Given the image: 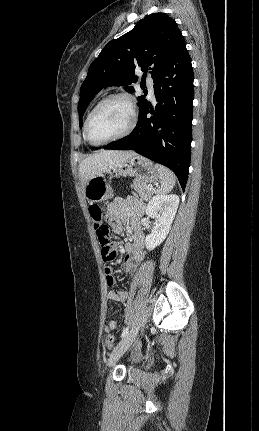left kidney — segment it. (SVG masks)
<instances>
[{
    "mask_svg": "<svg viewBox=\"0 0 259 431\" xmlns=\"http://www.w3.org/2000/svg\"><path fill=\"white\" fill-rule=\"evenodd\" d=\"M176 194H157L148 203L146 215L155 218L156 224L151 233L146 236L147 250L151 251L159 246L167 237L179 205Z\"/></svg>",
    "mask_w": 259,
    "mask_h": 431,
    "instance_id": "left-kidney-1",
    "label": "left kidney"
}]
</instances>
